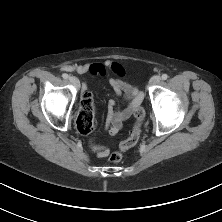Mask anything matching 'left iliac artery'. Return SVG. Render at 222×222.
Instances as JSON below:
<instances>
[{"mask_svg": "<svg viewBox=\"0 0 222 222\" xmlns=\"http://www.w3.org/2000/svg\"><path fill=\"white\" fill-rule=\"evenodd\" d=\"M167 78H168V75H167V74H163V75H162V80H167Z\"/></svg>", "mask_w": 222, "mask_h": 222, "instance_id": "1", "label": "left iliac artery"}]
</instances>
